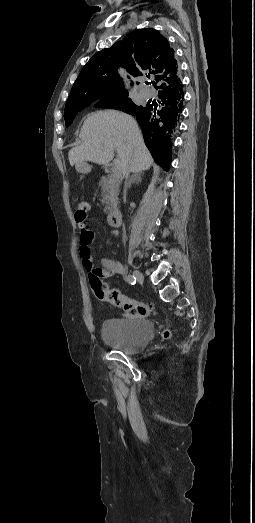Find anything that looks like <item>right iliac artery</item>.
I'll return each instance as SVG.
<instances>
[{
	"instance_id": "right-iliac-artery-1",
	"label": "right iliac artery",
	"mask_w": 255,
	"mask_h": 523,
	"mask_svg": "<svg viewBox=\"0 0 255 523\" xmlns=\"http://www.w3.org/2000/svg\"><path fill=\"white\" fill-rule=\"evenodd\" d=\"M126 281L131 284V285H134L136 283V277L134 275H128L126 277Z\"/></svg>"
}]
</instances>
